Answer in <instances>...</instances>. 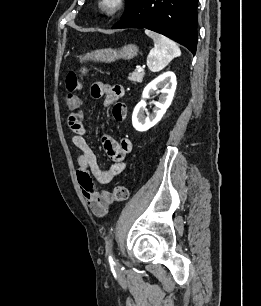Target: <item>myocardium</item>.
I'll return each mask as SVG.
<instances>
[{"instance_id": "f54148a6", "label": "myocardium", "mask_w": 261, "mask_h": 306, "mask_svg": "<svg viewBox=\"0 0 261 306\" xmlns=\"http://www.w3.org/2000/svg\"><path fill=\"white\" fill-rule=\"evenodd\" d=\"M127 0H98L99 11L108 17L118 14L124 9Z\"/></svg>"}]
</instances>
